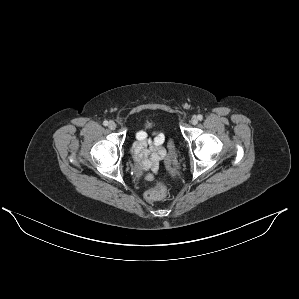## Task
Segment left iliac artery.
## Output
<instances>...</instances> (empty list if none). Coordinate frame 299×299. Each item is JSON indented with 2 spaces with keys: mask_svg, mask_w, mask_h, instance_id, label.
<instances>
[{
  "mask_svg": "<svg viewBox=\"0 0 299 299\" xmlns=\"http://www.w3.org/2000/svg\"><path fill=\"white\" fill-rule=\"evenodd\" d=\"M197 117H198L199 120H202V119H203V116L200 115V114H199Z\"/></svg>",
  "mask_w": 299,
  "mask_h": 299,
  "instance_id": "44dca946",
  "label": "left iliac artery"
}]
</instances>
